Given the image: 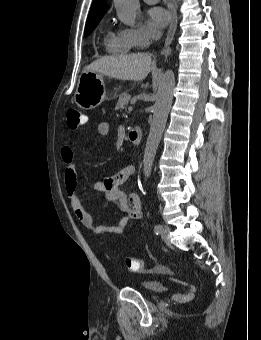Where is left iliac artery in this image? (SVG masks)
<instances>
[{
	"label": "left iliac artery",
	"mask_w": 261,
	"mask_h": 340,
	"mask_svg": "<svg viewBox=\"0 0 261 340\" xmlns=\"http://www.w3.org/2000/svg\"><path fill=\"white\" fill-rule=\"evenodd\" d=\"M161 230H162V226L160 224H158L154 227V232L156 234L160 233Z\"/></svg>",
	"instance_id": "obj_1"
}]
</instances>
